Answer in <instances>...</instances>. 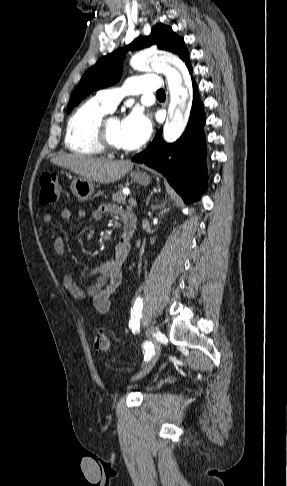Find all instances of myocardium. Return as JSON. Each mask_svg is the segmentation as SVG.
Masks as SVG:
<instances>
[{"mask_svg":"<svg viewBox=\"0 0 287 486\" xmlns=\"http://www.w3.org/2000/svg\"><path fill=\"white\" fill-rule=\"evenodd\" d=\"M111 118L102 119L98 128H97V141L103 151L110 152V153H123L126 152L124 148H120L113 144L108 135V121Z\"/></svg>","mask_w":287,"mask_h":486,"instance_id":"myocardium-1","label":"myocardium"}]
</instances>
